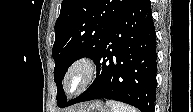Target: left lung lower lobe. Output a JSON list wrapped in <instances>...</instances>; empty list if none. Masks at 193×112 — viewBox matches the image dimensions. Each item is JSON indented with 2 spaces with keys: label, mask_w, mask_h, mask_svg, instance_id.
Here are the masks:
<instances>
[{
  "label": "left lung lower lobe",
  "mask_w": 193,
  "mask_h": 112,
  "mask_svg": "<svg viewBox=\"0 0 193 112\" xmlns=\"http://www.w3.org/2000/svg\"><path fill=\"white\" fill-rule=\"evenodd\" d=\"M156 35L150 0H133L113 24L94 59L93 84L63 107L94 99L130 104L154 112L156 100Z\"/></svg>",
  "instance_id": "left-lung-lower-lobe-1"
}]
</instances>
